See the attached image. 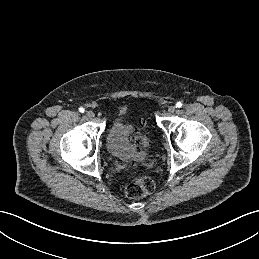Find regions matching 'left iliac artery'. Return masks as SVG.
<instances>
[{"label":"left iliac artery","mask_w":259,"mask_h":259,"mask_svg":"<svg viewBox=\"0 0 259 259\" xmlns=\"http://www.w3.org/2000/svg\"><path fill=\"white\" fill-rule=\"evenodd\" d=\"M182 105H183V104H182L181 102H177V103H176V107H177V108L182 107Z\"/></svg>","instance_id":"obj_1"}]
</instances>
